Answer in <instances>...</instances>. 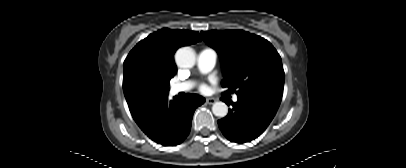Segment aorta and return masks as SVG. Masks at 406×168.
<instances>
[{"instance_id":"aorta-1","label":"aorta","mask_w":406,"mask_h":168,"mask_svg":"<svg viewBox=\"0 0 406 168\" xmlns=\"http://www.w3.org/2000/svg\"><path fill=\"white\" fill-rule=\"evenodd\" d=\"M196 55L192 48H180L175 54V62L178 67L192 68L195 65ZM212 112L217 117H225L228 113V106L224 102H215L212 106Z\"/></svg>"}]
</instances>
